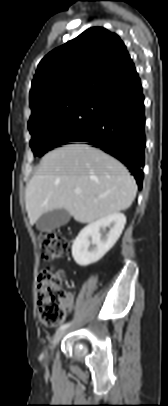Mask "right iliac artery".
<instances>
[{"label":"right iliac artery","instance_id":"right-iliac-artery-1","mask_svg":"<svg viewBox=\"0 0 168 406\" xmlns=\"http://www.w3.org/2000/svg\"><path fill=\"white\" fill-rule=\"evenodd\" d=\"M70 324H71V323L62 324V325L59 327V330H65L66 328H68V327L70 326Z\"/></svg>","mask_w":168,"mask_h":406}]
</instances>
